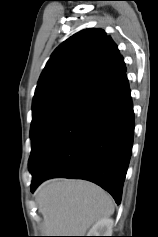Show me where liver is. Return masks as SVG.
Returning <instances> with one entry per match:
<instances>
[{
	"mask_svg": "<svg viewBox=\"0 0 158 237\" xmlns=\"http://www.w3.org/2000/svg\"><path fill=\"white\" fill-rule=\"evenodd\" d=\"M35 195L45 236H84L94 223L114 212L111 196L83 180L51 179Z\"/></svg>",
	"mask_w": 158,
	"mask_h": 237,
	"instance_id": "1",
	"label": "liver"
}]
</instances>
